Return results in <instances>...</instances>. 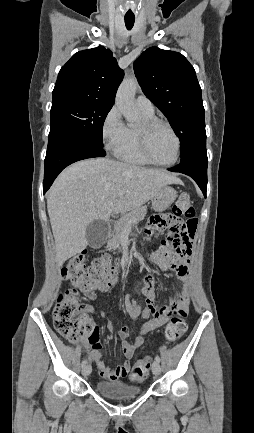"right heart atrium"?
Instances as JSON below:
<instances>
[{"label":"right heart atrium","mask_w":254,"mask_h":433,"mask_svg":"<svg viewBox=\"0 0 254 433\" xmlns=\"http://www.w3.org/2000/svg\"><path fill=\"white\" fill-rule=\"evenodd\" d=\"M127 133V127L122 121L121 113L113 106L105 115L101 125V137L105 148L117 154Z\"/></svg>","instance_id":"right-heart-atrium-1"}]
</instances>
